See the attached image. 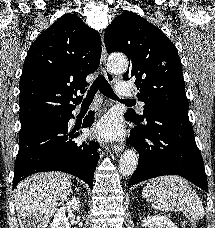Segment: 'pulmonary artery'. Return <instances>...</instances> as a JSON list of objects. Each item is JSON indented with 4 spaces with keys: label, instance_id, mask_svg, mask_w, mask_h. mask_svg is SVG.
I'll return each mask as SVG.
<instances>
[{
    "label": "pulmonary artery",
    "instance_id": "1",
    "mask_svg": "<svg viewBox=\"0 0 215 228\" xmlns=\"http://www.w3.org/2000/svg\"><path fill=\"white\" fill-rule=\"evenodd\" d=\"M114 89H116V92L118 93V96H134L135 92L133 89H135V84H124V82H115ZM133 102H138V97L132 98ZM144 102H140V108L141 110L144 109Z\"/></svg>",
    "mask_w": 215,
    "mask_h": 228
}]
</instances>
